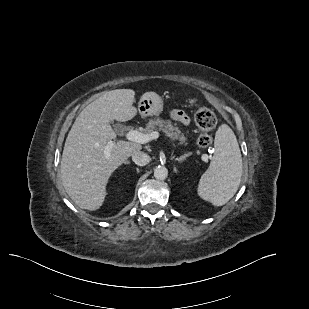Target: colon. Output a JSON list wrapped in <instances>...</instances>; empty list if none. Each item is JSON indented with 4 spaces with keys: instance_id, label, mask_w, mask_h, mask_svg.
<instances>
[{
    "instance_id": "colon-1",
    "label": "colon",
    "mask_w": 309,
    "mask_h": 309,
    "mask_svg": "<svg viewBox=\"0 0 309 309\" xmlns=\"http://www.w3.org/2000/svg\"><path fill=\"white\" fill-rule=\"evenodd\" d=\"M194 120L201 134L197 140L200 147H208L212 143L211 131L217 124V118L213 111L206 107L197 108Z\"/></svg>"
}]
</instances>
